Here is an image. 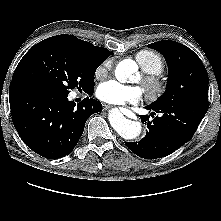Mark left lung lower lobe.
I'll use <instances>...</instances> for the list:
<instances>
[{"instance_id":"left-lung-lower-lobe-1","label":"left lung lower lobe","mask_w":221,"mask_h":221,"mask_svg":"<svg viewBox=\"0 0 221 221\" xmlns=\"http://www.w3.org/2000/svg\"><path fill=\"white\" fill-rule=\"evenodd\" d=\"M145 108L154 111L151 114L152 121H149V116L140 115L142 122L148 127L145 138L125 144L139 157L156 159L171 154L192 138L208 110V103H176L162 108L149 105ZM155 112L162 115L154 117Z\"/></svg>"}]
</instances>
